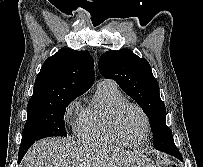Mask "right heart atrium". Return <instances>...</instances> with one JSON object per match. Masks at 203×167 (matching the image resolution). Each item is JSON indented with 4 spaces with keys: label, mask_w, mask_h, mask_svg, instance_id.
Listing matches in <instances>:
<instances>
[{
    "label": "right heart atrium",
    "mask_w": 203,
    "mask_h": 167,
    "mask_svg": "<svg viewBox=\"0 0 203 167\" xmlns=\"http://www.w3.org/2000/svg\"><path fill=\"white\" fill-rule=\"evenodd\" d=\"M80 107V102L78 99L73 100L65 110V116L67 120H71L72 117L77 113Z\"/></svg>",
    "instance_id": "right-heart-atrium-1"
}]
</instances>
